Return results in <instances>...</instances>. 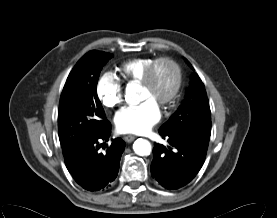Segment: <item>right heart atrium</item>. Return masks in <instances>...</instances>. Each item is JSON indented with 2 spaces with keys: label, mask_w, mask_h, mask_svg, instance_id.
<instances>
[{
  "label": "right heart atrium",
  "mask_w": 277,
  "mask_h": 218,
  "mask_svg": "<svg viewBox=\"0 0 277 218\" xmlns=\"http://www.w3.org/2000/svg\"><path fill=\"white\" fill-rule=\"evenodd\" d=\"M97 94L106 107H114L123 101L124 89L110 73H103L97 82Z\"/></svg>",
  "instance_id": "right-heart-atrium-1"
}]
</instances>
